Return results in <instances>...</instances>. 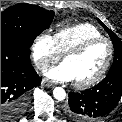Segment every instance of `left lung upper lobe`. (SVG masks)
<instances>
[{
  "label": "left lung upper lobe",
  "mask_w": 122,
  "mask_h": 122,
  "mask_svg": "<svg viewBox=\"0 0 122 122\" xmlns=\"http://www.w3.org/2000/svg\"><path fill=\"white\" fill-rule=\"evenodd\" d=\"M97 20L101 24V26H103V28L108 32L114 46L115 56H114L113 64L109 72L122 68V42L121 40L115 35V33H113L109 28H107L99 19Z\"/></svg>",
  "instance_id": "obj_1"
}]
</instances>
